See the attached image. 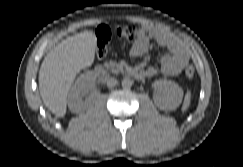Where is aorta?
Listing matches in <instances>:
<instances>
[{"mask_svg": "<svg viewBox=\"0 0 243 167\" xmlns=\"http://www.w3.org/2000/svg\"><path fill=\"white\" fill-rule=\"evenodd\" d=\"M122 87L123 88H130L131 86H132V84H133V81L130 79V78H124L123 80H122Z\"/></svg>", "mask_w": 243, "mask_h": 167, "instance_id": "aorta-1", "label": "aorta"}]
</instances>
